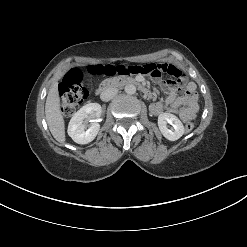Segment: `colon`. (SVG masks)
Masks as SVG:
<instances>
[{"label": "colon", "mask_w": 247, "mask_h": 247, "mask_svg": "<svg viewBox=\"0 0 247 247\" xmlns=\"http://www.w3.org/2000/svg\"><path fill=\"white\" fill-rule=\"evenodd\" d=\"M128 65H96L89 66L86 70L72 68L65 75L59 87L61 111L65 116L72 115L77 107L87 98L88 86L85 83V76L88 75H118L129 68ZM195 122H188L185 125L187 132L195 129Z\"/></svg>", "instance_id": "1"}]
</instances>
